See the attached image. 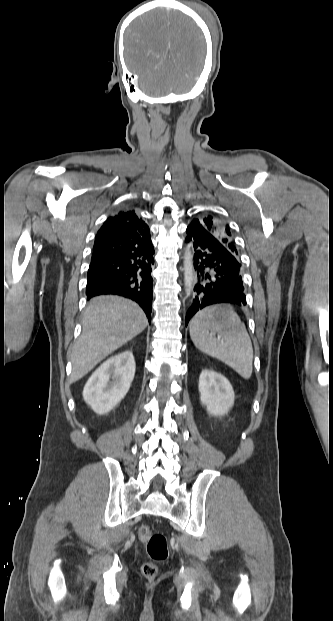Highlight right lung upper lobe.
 I'll return each instance as SVG.
<instances>
[{
  "mask_svg": "<svg viewBox=\"0 0 333 621\" xmlns=\"http://www.w3.org/2000/svg\"><path fill=\"white\" fill-rule=\"evenodd\" d=\"M152 245L148 225L134 210L120 211L109 217L97 232L93 249L119 247L142 250Z\"/></svg>",
  "mask_w": 333,
  "mask_h": 621,
  "instance_id": "cb5924a9",
  "label": "right lung upper lobe"
}]
</instances>
